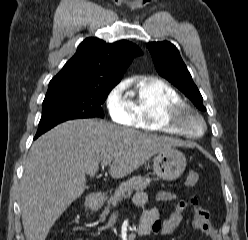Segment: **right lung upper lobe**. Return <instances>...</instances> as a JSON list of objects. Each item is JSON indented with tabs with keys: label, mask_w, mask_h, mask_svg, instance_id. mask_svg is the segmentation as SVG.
Returning a JSON list of instances; mask_svg holds the SVG:
<instances>
[{
	"label": "right lung upper lobe",
	"mask_w": 248,
	"mask_h": 240,
	"mask_svg": "<svg viewBox=\"0 0 248 240\" xmlns=\"http://www.w3.org/2000/svg\"><path fill=\"white\" fill-rule=\"evenodd\" d=\"M141 54L140 48L127 40L109 44L89 37L50 81L48 91L62 88H113L133 58Z\"/></svg>",
	"instance_id": "1"
}]
</instances>
